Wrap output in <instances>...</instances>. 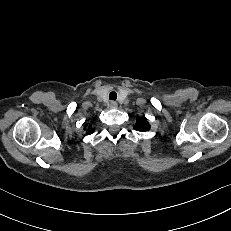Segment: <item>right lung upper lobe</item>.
<instances>
[{
	"instance_id": "right-lung-upper-lobe-1",
	"label": "right lung upper lobe",
	"mask_w": 231,
	"mask_h": 231,
	"mask_svg": "<svg viewBox=\"0 0 231 231\" xmlns=\"http://www.w3.org/2000/svg\"><path fill=\"white\" fill-rule=\"evenodd\" d=\"M94 132V129L91 128V126L88 127V129L86 130L87 134H91Z\"/></svg>"
}]
</instances>
